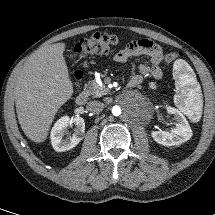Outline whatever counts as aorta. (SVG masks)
I'll return each instance as SVG.
<instances>
[{
    "instance_id": "aorta-1",
    "label": "aorta",
    "mask_w": 215,
    "mask_h": 215,
    "mask_svg": "<svg viewBox=\"0 0 215 215\" xmlns=\"http://www.w3.org/2000/svg\"><path fill=\"white\" fill-rule=\"evenodd\" d=\"M121 113V109L119 107H114L113 108V114L114 115H119Z\"/></svg>"
}]
</instances>
